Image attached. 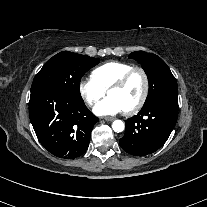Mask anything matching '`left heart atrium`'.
I'll use <instances>...</instances> for the list:
<instances>
[{
	"mask_svg": "<svg viewBox=\"0 0 207 207\" xmlns=\"http://www.w3.org/2000/svg\"><path fill=\"white\" fill-rule=\"evenodd\" d=\"M96 115L110 116L122 113L125 111L120 102L114 97L108 96L99 101L93 108Z\"/></svg>",
	"mask_w": 207,
	"mask_h": 207,
	"instance_id": "1",
	"label": "left heart atrium"
}]
</instances>
